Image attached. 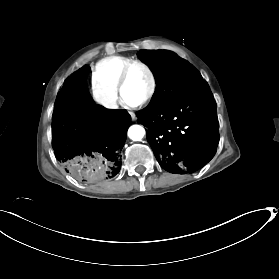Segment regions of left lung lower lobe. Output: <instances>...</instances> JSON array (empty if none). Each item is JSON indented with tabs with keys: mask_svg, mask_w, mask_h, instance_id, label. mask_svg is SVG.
<instances>
[{
	"mask_svg": "<svg viewBox=\"0 0 279 279\" xmlns=\"http://www.w3.org/2000/svg\"><path fill=\"white\" fill-rule=\"evenodd\" d=\"M160 166L170 173H193L215 155L219 141L216 102L202 83L157 111L137 112Z\"/></svg>",
	"mask_w": 279,
	"mask_h": 279,
	"instance_id": "1",
	"label": "left lung lower lobe"
}]
</instances>
